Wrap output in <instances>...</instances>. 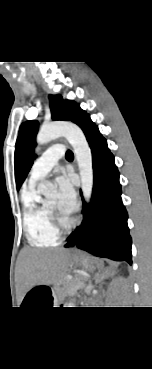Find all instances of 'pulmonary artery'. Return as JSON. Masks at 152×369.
I'll return each instance as SVG.
<instances>
[{"instance_id":"obj_1","label":"pulmonary artery","mask_w":152,"mask_h":369,"mask_svg":"<svg viewBox=\"0 0 152 369\" xmlns=\"http://www.w3.org/2000/svg\"><path fill=\"white\" fill-rule=\"evenodd\" d=\"M65 154L64 146L57 144L48 148L33 164L30 175V185H35L44 179L55 167L58 160Z\"/></svg>"}]
</instances>
